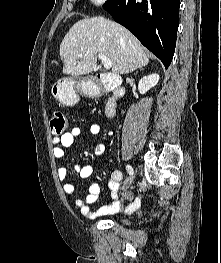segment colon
Segmentation results:
<instances>
[{
	"label": "colon",
	"instance_id": "5ec220e1",
	"mask_svg": "<svg viewBox=\"0 0 221 263\" xmlns=\"http://www.w3.org/2000/svg\"><path fill=\"white\" fill-rule=\"evenodd\" d=\"M68 126L67 118L64 113L57 111L55 112L50 120V132L54 137L62 136Z\"/></svg>",
	"mask_w": 221,
	"mask_h": 263
}]
</instances>
